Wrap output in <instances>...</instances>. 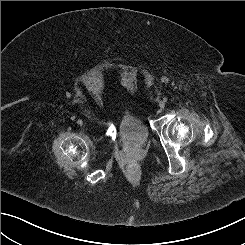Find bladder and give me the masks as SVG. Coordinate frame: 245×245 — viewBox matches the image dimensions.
<instances>
[{"instance_id": "bladder-1", "label": "bladder", "mask_w": 245, "mask_h": 245, "mask_svg": "<svg viewBox=\"0 0 245 245\" xmlns=\"http://www.w3.org/2000/svg\"><path fill=\"white\" fill-rule=\"evenodd\" d=\"M122 137L133 147L145 144L150 138L147 125L139 118L126 116L119 123Z\"/></svg>"}]
</instances>
